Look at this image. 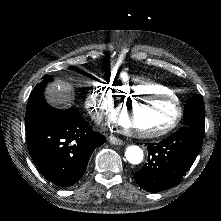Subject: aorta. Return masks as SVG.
I'll return each mask as SVG.
<instances>
[{
	"label": "aorta",
	"instance_id": "obj_1",
	"mask_svg": "<svg viewBox=\"0 0 221 221\" xmlns=\"http://www.w3.org/2000/svg\"><path fill=\"white\" fill-rule=\"evenodd\" d=\"M125 157L131 164H140L143 161V150L136 145H130L125 150Z\"/></svg>",
	"mask_w": 221,
	"mask_h": 221
}]
</instances>
